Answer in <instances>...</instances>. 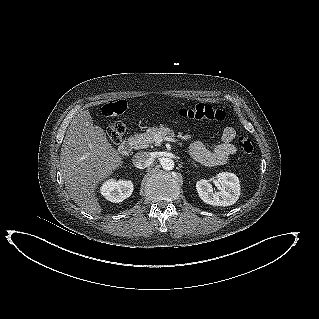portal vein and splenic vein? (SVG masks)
Listing matches in <instances>:
<instances>
[{"label":"portal vein and splenic vein","instance_id":"1","mask_svg":"<svg viewBox=\"0 0 319 319\" xmlns=\"http://www.w3.org/2000/svg\"><path fill=\"white\" fill-rule=\"evenodd\" d=\"M163 140L165 141H170V142H176V140L174 138H172L171 136H160L159 134L155 135V141L160 144Z\"/></svg>","mask_w":319,"mask_h":319}]
</instances>
